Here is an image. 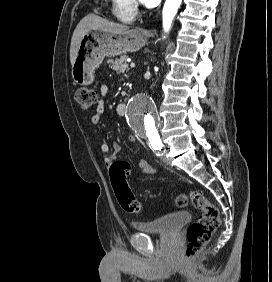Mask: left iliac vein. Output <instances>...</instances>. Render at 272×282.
I'll use <instances>...</instances> for the list:
<instances>
[{"instance_id": "obj_1", "label": "left iliac vein", "mask_w": 272, "mask_h": 282, "mask_svg": "<svg viewBox=\"0 0 272 282\" xmlns=\"http://www.w3.org/2000/svg\"><path fill=\"white\" fill-rule=\"evenodd\" d=\"M166 153H167L166 149L163 150L161 153V159L164 163H167Z\"/></svg>"}]
</instances>
